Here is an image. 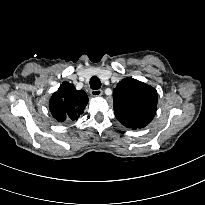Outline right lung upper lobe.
Here are the masks:
<instances>
[{"mask_svg":"<svg viewBox=\"0 0 205 205\" xmlns=\"http://www.w3.org/2000/svg\"><path fill=\"white\" fill-rule=\"evenodd\" d=\"M88 96L83 90H76L74 85L63 82L49 103L51 114L60 122L66 119L77 120L84 112Z\"/></svg>","mask_w":205,"mask_h":205,"instance_id":"right-lung-upper-lobe-1","label":"right lung upper lobe"}]
</instances>
